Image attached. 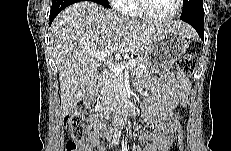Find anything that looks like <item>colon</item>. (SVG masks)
Here are the masks:
<instances>
[{"instance_id": "obj_1", "label": "colon", "mask_w": 231, "mask_h": 151, "mask_svg": "<svg viewBox=\"0 0 231 151\" xmlns=\"http://www.w3.org/2000/svg\"><path fill=\"white\" fill-rule=\"evenodd\" d=\"M197 59L194 54L182 56L176 63L177 70L183 75H192ZM72 141L66 145V151H79L80 145L86 141V126L84 114L80 109H74L65 117ZM171 139L166 151H182L183 129L181 119L175 117L170 122Z\"/></svg>"}]
</instances>
